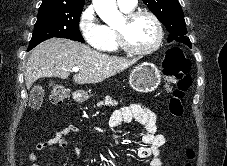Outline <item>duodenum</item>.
<instances>
[{"mask_svg": "<svg viewBox=\"0 0 227 166\" xmlns=\"http://www.w3.org/2000/svg\"><path fill=\"white\" fill-rule=\"evenodd\" d=\"M76 95L78 96V94L76 93ZM78 100L80 99V98H77Z\"/></svg>", "mask_w": 227, "mask_h": 166, "instance_id": "1", "label": "duodenum"}]
</instances>
